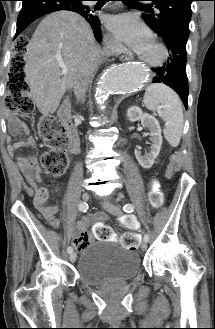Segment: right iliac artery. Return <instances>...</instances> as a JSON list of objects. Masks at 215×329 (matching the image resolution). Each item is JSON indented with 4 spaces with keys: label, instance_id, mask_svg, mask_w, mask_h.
Masks as SVG:
<instances>
[{
    "label": "right iliac artery",
    "instance_id": "1",
    "mask_svg": "<svg viewBox=\"0 0 215 329\" xmlns=\"http://www.w3.org/2000/svg\"><path fill=\"white\" fill-rule=\"evenodd\" d=\"M87 209H88V204H87L86 202H81V203L79 204V210H80L81 212H86ZM67 251H68V253H72V252H73L72 247H68V248H67Z\"/></svg>",
    "mask_w": 215,
    "mask_h": 329
}]
</instances>
